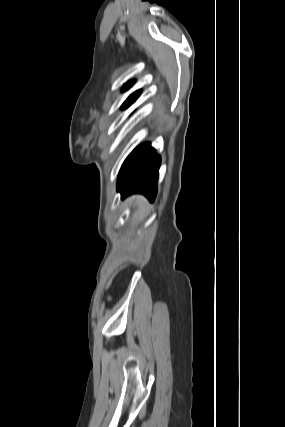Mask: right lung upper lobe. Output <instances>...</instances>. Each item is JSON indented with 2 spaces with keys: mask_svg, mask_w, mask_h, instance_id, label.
<instances>
[{
  "mask_svg": "<svg viewBox=\"0 0 285 427\" xmlns=\"http://www.w3.org/2000/svg\"><path fill=\"white\" fill-rule=\"evenodd\" d=\"M133 83H134V81H130V82H128L125 86H124V88H123V91H125V90H127V89H129L132 85H133ZM140 93H141V91L140 90H138V91H136V92H134L133 94H131L127 99H126V101L123 103V105H122V108L123 109H126L127 107H129L138 97H139V95H140Z\"/></svg>",
  "mask_w": 285,
  "mask_h": 427,
  "instance_id": "1",
  "label": "right lung upper lobe"
}]
</instances>
